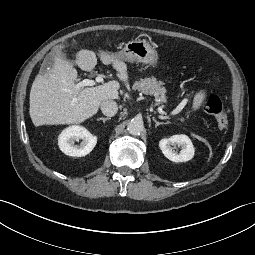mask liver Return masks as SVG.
<instances>
[{
	"mask_svg": "<svg viewBox=\"0 0 255 255\" xmlns=\"http://www.w3.org/2000/svg\"><path fill=\"white\" fill-rule=\"evenodd\" d=\"M63 48L64 44L56 46L50 69L40 70L32 84L29 113L35 126L82 123L98 112L103 101L119 99L117 81L77 87L78 72L63 57ZM98 56L104 65L112 64L120 81L128 82L127 65L117 53L99 50ZM76 63L83 71L90 72L97 64L96 54L82 49L76 55Z\"/></svg>",
	"mask_w": 255,
	"mask_h": 255,
	"instance_id": "1",
	"label": "liver"
}]
</instances>
